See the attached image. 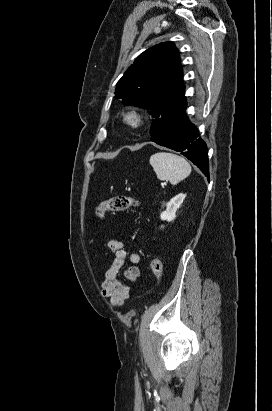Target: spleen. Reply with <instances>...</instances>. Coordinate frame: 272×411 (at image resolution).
<instances>
[{
  "label": "spleen",
  "instance_id": "3e777b00",
  "mask_svg": "<svg viewBox=\"0 0 272 411\" xmlns=\"http://www.w3.org/2000/svg\"><path fill=\"white\" fill-rule=\"evenodd\" d=\"M150 165L159 180L170 181L172 185L178 184L191 173V166L185 158L168 152L153 154Z\"/></svg>",
  "mask_w": 272,
  "mask_h": 411
}]
</instances>
